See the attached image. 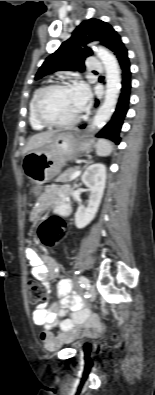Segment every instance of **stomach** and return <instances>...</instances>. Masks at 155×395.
Wrapping results in <instances>:
<instances>
[{
    "instance_id": "1",
    "label": "stomach",
    "mask_w": 155,
    "mask_h": 395,
    "mask_svg": "<svg viewBox=\"0 0 155 395\" xmlns=\"http://www.w3.org/2000/svg\"><path fill=\"white\" fill-rule=\"evenodd\" d=\"M94 141H79L71 132L56 134L44 147L28 152L23 159V171L26 177L40 189L43 184L55 177L66 161L75 153L96 147Z\"/></svg>"
}]
</instances>
